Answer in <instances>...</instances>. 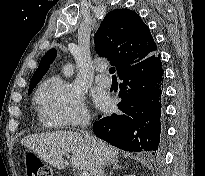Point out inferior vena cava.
<instances>
[{"label": "inferior vena cava", "instance_id": "obj_1", "mask_svg": "<svg viewBox=\"0 0 205 176\" xmlns=\"http://www.w3.org/2000/svg\"><path fill=\"white\" fill-rule=\"evenodd\" d=\"M89 118H85L82 122V128H85L88 124H89ZM83 136L85 138V141L91 146L92 149H94L95 151V155H96V158H97V172H96V176H104V171H103V161L101 159V153H100V150L97 146V142L95 140L94 137H92L88 131H83Z\"/></svg>", "mask_w": 205, "mask_h": 176}]
</instances>
